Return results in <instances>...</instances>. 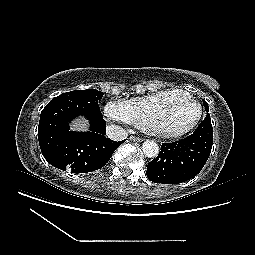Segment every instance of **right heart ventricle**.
Listing matches in <instances>:
<instances>
[{
  "label": "right heart ventricle",
  "mask_w": 255,
  "mask_h": 255,
  "mask_svg": "<svg viewBox=\"0 0 255 255\" xmlns=\"http://www.w3.org/2000/svg\"><path fill=\"white\" fill-rule=\"evenodd\" d=\"M182 89L171 88L160 90L142 97L133 98L125 101V106L130 117L131 124L143 127L147 118L166 101L176 97Z\"/></svg>",
  "instance_id": "right-heart-ventricle-1"
}]
</instances>
